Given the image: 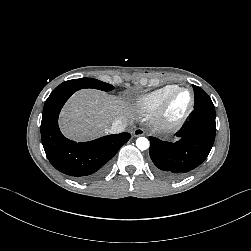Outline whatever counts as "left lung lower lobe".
<instances>
[{
  "mask_svg": "<svg viewBox=\"0 0 251 251\" xmlns=\"http://www.w3.org/2000/svg\"><path fill=\"white\" fill-rule=\"evenodd\" d=\"M215 111L194 109L174 143L150 137V157L157 174L178 179L198 167L208 156L215 139Z\"/></svg>",
  "mask_w": 251,
  "mask_h": 251,
  "instance_id": "0a47b994",
  "label": "left lung lower lobe"
}]
</instances>
